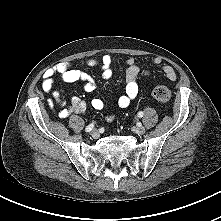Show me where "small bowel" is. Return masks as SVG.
Masks as SVG:
<instances>
[{
    "label": "small bowel",
    "mask_w": 221,
    "mask_h": 221,
    "mask_svg": "<svg viewBox=\"0 0 221 221\" xmlns=\"http://www.w3.org/2000/svg\"><path fill=\"white\" fill-rule=\"evenodd\" d=\"M88 66H99L101 68L102 76L104 78H110L112 76V58L110 55L105 54L100 58H90L86 60ZM155 65H161L162 59L155 57L152 60ZM126 64V86L125 93L118 98L117 104L120 108L125 109L129 106L130 102L137 96L138 78L141 75H147V72H141L133 57H129L125 60ZM161 69L164 77L169 81H175L177 74L174 68L170 65L163 64ZM58 75L65 82H81L86 92H92L96 88V83L91 76L80 70L73 69L69 62H62L56 67L47 70L43 76L42 88L45 92L51 93V98L48 100L50 108L56 106L60 107L57 112L59 118H67L73 114H82L86 110V104L79 97H72L69 103H66L61 99L59 91L54 89V76ZM91 105L96 110L104 109V102L100 98H94L91 101ZM114 117L112 115L106 116V120L112 121Z\"/></svg>",
    "instance_id": "c3829d8e"
}]
</instances>
